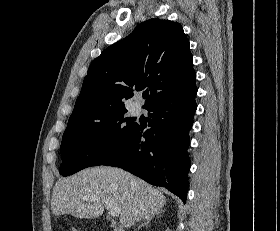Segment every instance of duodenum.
<instances>
[{"label":"duodenum","mask_w":280,"mask_h":231,"mask_svg":"<svg viewBox=\"0 0 280 231\" xmlns=\"http://www.w3.org/2000/svg\"><path fill=\"white\" fill-rule=\"evenodd\" d=\"M113 231H122V229L120 227H115L113 228Z\"/></svg>","instance_id":"obj_1"}]
</instances>
